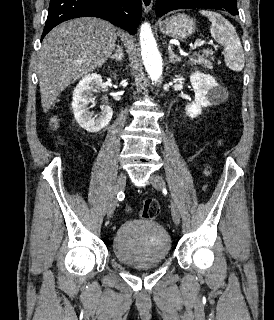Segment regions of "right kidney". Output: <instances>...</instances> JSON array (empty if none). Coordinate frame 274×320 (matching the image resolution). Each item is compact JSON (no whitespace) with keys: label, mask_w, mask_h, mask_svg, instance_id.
Here are the masks:
<instances>
[{"label":"right kidney","mask_w":274,"mask_h":320,"mask_svg":"<svg viewBox=\"0 0 274 320\" xmlns=\"http://www.w3.org/2000/svg\"><path fill=\"white\" fill-rule=\"evenodd\" d=\"M113 78L116 80V74H113ZM101 84L100 74H89V76L80 80L73 92L72 110L74 118L80 128L90 132V134H96V132L106 128L113 116V110L110 106H102L99 114L90 112L88 108L90 102H94V92H98Z\"/></svg>","instance_id":"obj_1"}]
</instances>
